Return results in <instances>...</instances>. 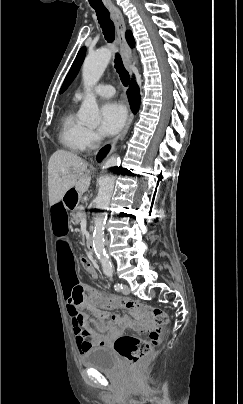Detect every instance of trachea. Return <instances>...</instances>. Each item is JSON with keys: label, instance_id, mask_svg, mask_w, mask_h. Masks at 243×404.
<instances>
[{"label": "trachea", "instance_id": "obj_1", "mask_svg": "<svg viewBox=\"0 0 243 404\" xmlns=\"http://www.w3.org/2000/svg\"><path fill=\"white\" fill-rule=\"evenodd\" d=\"M92 8H94V10L96 12L97 19H98L100 27L103 31V35H104L105 39L109 43L113 42L115 39V27H114V23L112 22V20L110 18L109 11L104 6L92 7ZM114 62H115L116 72L119 74L122 84L125 87H127L130 82V76L123 65V62H122V59H121L119 53H116Z\"/></svg>", "mask_w": 243, "mask_h": 404}]
</instances>
